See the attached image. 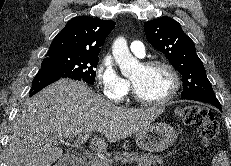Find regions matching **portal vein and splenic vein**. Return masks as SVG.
<instances>
[{
  "mask_svg": "<svg viewBox=\"0 0 231 166\" xmlns=\"http://www.w3.org/2000/svg\"><path fill=\"white\" fill-rule=\"evenodd\" d=\"M89 139V134H81L76 136L75 138H69L70 141H73L74 146L79 148L81 150L83 144L85 141H87ZM59 141L63 142V139H59ZM85 154L87 155V157L89 158L90 161H97V157H95L93 154L89 153V152H85ZM126 162V161H125Z\"/></svg>",
  "mask_w": 231,
  "mask_h": 166,
  "instance_id": "portal-vein-and-splenic-vein-1",
  "label": "portal vein and splenic vein"
}]
</instances>
